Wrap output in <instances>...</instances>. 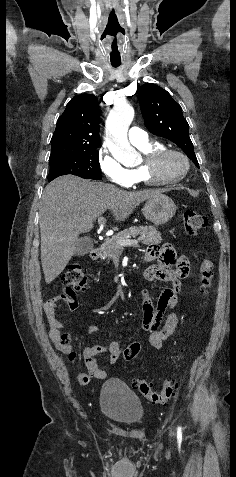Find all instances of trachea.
<instances>
[{
    "label": "trachea",
    "instance_id": "3493384b",
    "mask_svg": "<svg viewBox=\"0 0 236 477\" xmlns=\"http://www.w3.org/2000/svg\"><path fill=\"white\" fill-rule=\"evenodd\" d=\"M111 65L114 67V68H117L120 66V63H111Z\"/></svg>",
    "mask_w": 236,
    "mask_h": 477
}]
</instances>
